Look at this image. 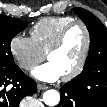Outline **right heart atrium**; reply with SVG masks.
<instances>
[{
	"mask_svg": "<svg viewBox=\"0 0 107 107\" xmlns=\"http://www.w3.org/2000/svg\"><path fill=\"white\" fill-rule=\"evenodd\" d=\"M11 55L23 70L30 71L45 57L31 37L24 34L14 35L9 43Z\"/></svg>",
	"mask_w": 107,
	"mask_h": 107,
	"instance_id": "d8ad5b80",
	"label": "right heart atrium"
}]
</instances>
